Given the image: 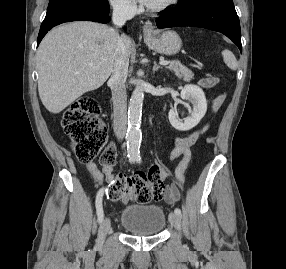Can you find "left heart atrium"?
Instances as JSON below:
<instances>
[{"label": "left heart atrium", "mask_w": 286, "mask_h": 269, "mask_svg": "<svg viewBox=\"0 0 286 269\" xmlns=\"http://www.w3.org/2000/svg\"><path fill=\"white\" fill-rule=\"evenodd\" d=\"M136 1H138L142 5L149 6V4L152 0H136Z\"/></svg>", "instance_id": "left-heart-atrium-1"}]
</instances>
